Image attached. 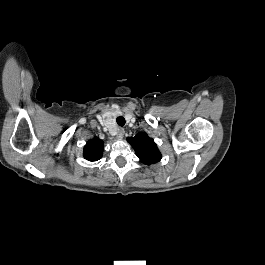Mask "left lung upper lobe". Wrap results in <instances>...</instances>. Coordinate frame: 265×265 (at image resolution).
<instances>
[{
  "instance_id": "5c2ea615",
  "label": "left lung upper lobe",
  "mask_w": 265,
  "mask_h": 265,
  "mask_svg": "<svg viewBox=\"0 0 265 265\" xmlns=\"http://www.w3.org/2000/svg\"><path fill=\"white\" fill-rule=\"evenodd\" d=\"M127 140L142 163L151 165L161 160L162 156L156 143L145 132H139Z\"/></svg>"
}]
</instances>
